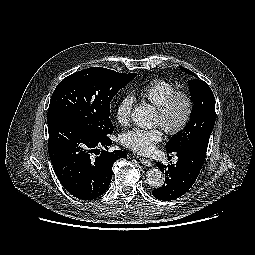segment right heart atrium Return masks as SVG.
<instances>
[{
    "mask_svg": "<svg viewBox=\"0 0 255 255\" xmlns=\"http://www.w3.org/2000/svg\"><path fill=\"white\" fill-rule=\"evenodd\" d=\"M133 104L134 99L131 95H125L119 100L115 109V116L119 123L125 124L129 121Z\"/></svg>",
    "mask_w": 255,
    "mask_h": 255,
    "instance_id": "right-heart-atrium-1",
    "label": "right heart atrium"
}]
</instances>
